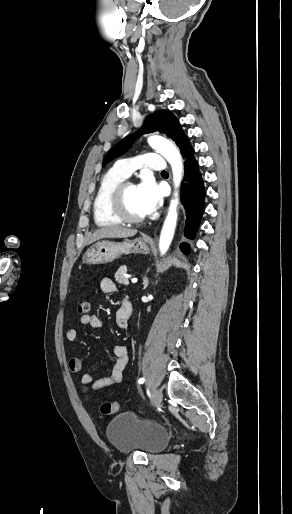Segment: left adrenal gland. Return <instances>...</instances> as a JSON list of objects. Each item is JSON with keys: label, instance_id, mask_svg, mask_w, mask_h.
<instances>
[{"label": "left adrenal gland", "instance_id": "a2214340", "mask_svg": "<svg viewBox=\"0 0 292 514\" xmlns=\"http://www.w3.org/2000/svg\"><path fill=\"white\" fill-rule=\"evenodd\" d=\"M148 284H149V280H148V278H146V276H144V278H143V286H144L143 290H145V288H147Z\"/></svg>", "mask_w": 292, "mask_h": 514}]
</instances>
